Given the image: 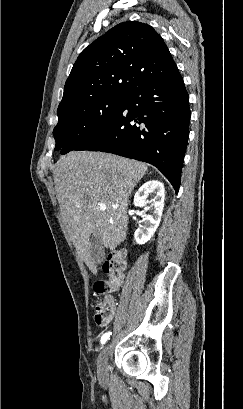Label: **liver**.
<instances>
[{
	"instance_id": "6515ba94",
	"label": "liver",
	"mask_w": 243,
	"mask_h": 409,
	"mask_svg": "<svg viewBox=\"0 0 243 409\" xmlns=\"http://www.w3.org/2000/svg\"><path fill=\"white\" fill-rule=\"evenodd\" d=\"M147 170L144 163L102 152H71L57 161L53 178L61 216L93 274L98 269L91 257V236L106 248L126 239L129 196Z\"/></svg>"
}]
</instances>
